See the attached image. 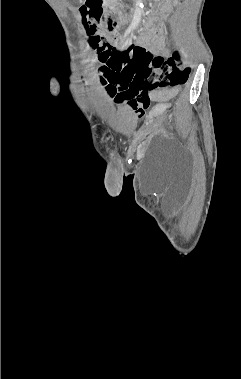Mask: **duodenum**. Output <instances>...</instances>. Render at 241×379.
I'll return each instance as SVG.
<instances>
[{"label":"duodenum","instance_id":"duodenum-1","mask_svg":"<svg viewBox=\"0 0 241 379\" xmlns=\"http://www.w3.org/2000/svg\"><path fill=\"white\" fill-rule=\"evenodd\" d=\"M106 3L112 7V8H116V20L118 22H122L123 20H125L126 16H127V5L125 3H122L120 5H116V0H105Z\"/></svg>","mask_w":241,"mask_h":379}]
</instances>
